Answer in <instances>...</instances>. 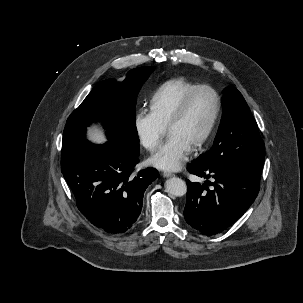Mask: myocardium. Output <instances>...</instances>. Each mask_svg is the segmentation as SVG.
Returning a JSON list of instances; mask_svg holds the SVG:
<instances>
[{"label": "myocardium", "mask_w": 303, "mask_h": 303, "mask_svg": "<svg viewBox=\"0 0 303 303\" xmlns=\"http://www.w3.org/2000/svg\"><path fill=\"white\" fill-rule=\"evenodd\" d=\"M200 90H209L210 92H212V94L215 97V110H214L213 116L211 118V121H210L207 129L205 130L203 135L197 140V142L193 145V147L195 149L202 148L204 146V144L208 141V139L212 135V133L217 125V122H218L220 114H221V109H222L221 96L214 87L207 85V84H200V85H197L196 87H194L193 89H191L183 97L180 104L178 105V107L176 108V110L174 111V113L172 114V116L170 117V119L167 123V129L169 130V128L172 125H174L176 122H178L185 115V113L187 112L188 107L191 103L192 98Z\"/></svg>", "instance_id": "1"}]
</instances>
